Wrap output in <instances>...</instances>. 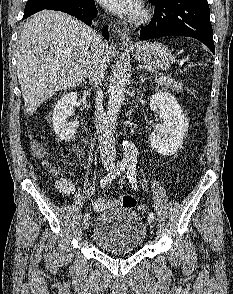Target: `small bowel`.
<instances>
[{
    "label": "small bowel",
    "instance_id": "1",
    "mask_svg": "<svg viewBox=\"0 0 233 294\" xmlns=\"http://www.w3.org/2000/svg\"><path fill=\"white\" fill-rule=\"evenodd\" d=\"M56 188L63 196H70V195L74 194L76 191V188H75L73 182L69 179H66V178L59 179L56 183ZM90 193H91V188L88 187L83 191V196L87 197V196H89ZM94 202H106V201L96 200Z\"/></svg>",
    "mask_w": 233,
    "mask_h": 294
}]
</instances>
